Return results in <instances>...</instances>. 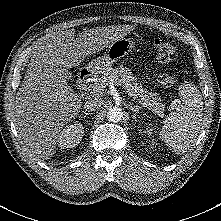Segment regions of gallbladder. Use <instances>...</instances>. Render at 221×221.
Returning <instances> with one entry per match:
<instances>
[{
  "instance_id": "obj_1",
  "label": "gallbladder",
  "mask_w": 221,
  "mask_h": 221,
  "mask_svg": "<svg viewBox=\"0 0 221 221\" xmlns=\"http://www.w3.org/2000/svg\"><path fill=\"white\" fill-rule=\"evenodd\" d=\"M61 73L65 78L67 79L71 78V73L67 69H62Z\"/></svg>"
}]
</instances>
